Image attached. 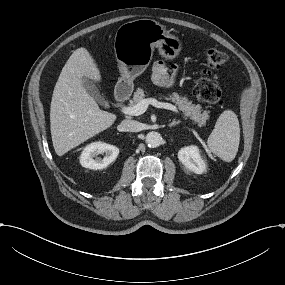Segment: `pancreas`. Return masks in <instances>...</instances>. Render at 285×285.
<instances>
[{"label": "pancreas", "mask_w": 285, "mask_h": 285, "mask_svg": "<svg viewBox=\"0 0 285 285\" xmlns=\"http://www.w3.org/2000/svg\"><path fill=\"white\" fill-rule=\"evenodd\" d=\"M147 96V92L143 90L142 87H139L133 95V103H139L143 101ZM159 99L171 100L174 104H177L178 107L183 111L187 116L195 121L204 122L207 119V112L201 113L200 105H193L189 98L186 96L180 95L178 92H172L171 94L164 95L163 93L157 94Z\"/></svg>", "instance_id": "pancreas-1"}]
</instances>
